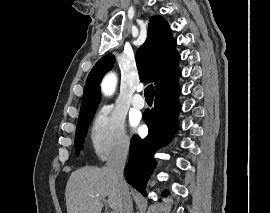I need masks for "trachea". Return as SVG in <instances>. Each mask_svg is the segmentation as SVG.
I'll return each mask as SVG.
<instances>
[{
  "mask_svg": "<svg viewBox=\"0 0 270 213\" xmlns=\"http://www.w3.org/2000/svg\"><path fill=\"white\" fill-rule=\"evenodd\" d=\"M145 99L153 100L154 99V87L152 84L147 86L144 90Z\"/></svg>",
  "mask_w": 270,
  "mask_h": 213,
  "instance_id": "obj_1",
  "label": "trachea"
}]
</instances>
